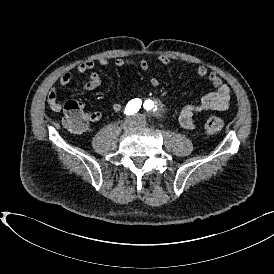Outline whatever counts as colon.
<instances>
[{"label": "colon", "instance_id": "5ec220e1", "mask_svg": "<svg viewBox=\"0 0 274 274\" xmlns=\"http://www.w3.org/2000/svg\"><path fill=\"white\" fill-rule=\"evenodd\" d=\"M63 124L76 133H81L87 126L88 116L84 114L82 104L77 100H69L63 106ZM223 128L219 117H210L205 121L204 130L207 134H217Z\"/></svg>", "mask_w": 274, "mask_h": 274}]
</instances>
